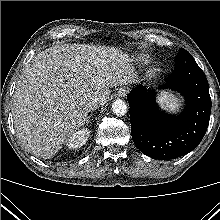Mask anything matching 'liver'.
I'll return each mask as SVG.
<instances>
[{"label":"liver","mask_w":220,"mask_h":220,"mask_svg":"<svg viewBox=\"0 0 220 220\" xmlns=\"http://www.w3.org/2000/svg\"><path fill=\"white\" fill-rule=\"evenodd\" d=\"M132 58L116 47L56 45L38 53L23 70L13 96V120L22 145L50 159L88 117L86 103L104 106L110 88L135 78Z\"/></svg>","instance_id":"6515ba94"}]
</instances>
